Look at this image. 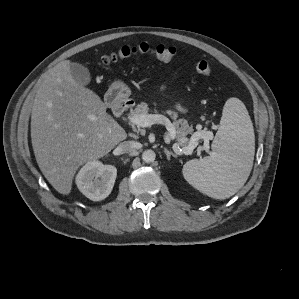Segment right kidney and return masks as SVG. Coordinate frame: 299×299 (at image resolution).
I'll use <instances>...</instances> for the list:
<instances>
[{"mask_svg": "<svg viewBox=\"0 0 299 299\" xmlns=\"http://www.w3.org/2000/svg\"><path fill=\"white\" fill-rule=\"evenodd\" d=\"M116 176V167L93 160L80 169L76 176V184L87 198L101 201L111 193Z\"/></svg>", "mask_w": 299, "mask_h": 299, "instance_id": "ca27d5eb", "label": "right kidney"}]
</instances>
